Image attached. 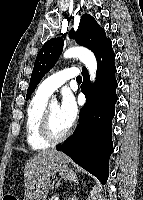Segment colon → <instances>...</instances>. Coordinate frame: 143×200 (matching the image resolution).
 Returning a JSON list of instances; mask_svg holds the SVG:
<instances>
[{
    "label": "colon",
    "mask_w": 143,
    "mask_h": 200,
    "mask_svg": "<svg viewBox=\"0 0 143 200\" xmlns=\"http://www.w3.org/2000/svg\"><path fill=\"white\" fill-rule=\"evenodd\" d=\"M4 200H17L16 197L12 196V195H6L4 197Z\"/></svg>",
    "instance_id": "colon-1"
}]
</instances>
